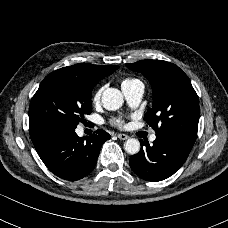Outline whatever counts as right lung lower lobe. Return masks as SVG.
I'll list each match as a JSON object with an SVG mask.
<instances>
[{
    "instance_id": "right-lung-lower-lobe-1",
    "label": "right lung lower lobe",
    "mask_w": 228,
    "mask_h": 228,
    "mask_svg": "<svg viewBox=\"0 0 228 228\" xmlns=\"http://www.w3.org/2000/svg\"><path fill=\"white\" fill-rule=\"evenodd\" d=\"M76 127L50 125L30 131V137L41 160L56 176L79 180L95 167L101 145L111 136L97 130L88 137H78Z\"/></svg>"
}]
</instances>
